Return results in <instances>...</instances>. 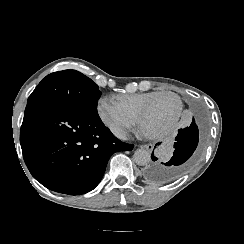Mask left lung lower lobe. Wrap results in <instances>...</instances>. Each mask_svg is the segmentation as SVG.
<instances>
[{"mask_svg":"<svg viewBox=\"0 0 244 244\" xmlns=\"http://www.w3.org/2000/svg\"><path fill=\"white\" fill-rule=\"evenodd\" d=\"M172 158L167 162H155L157 158L152 154L154 162L148 163L143 171V177L154 183H169L181 177L193 164L199 141V131L195 119L189 127L178 130L175 138Z\"/></svg>","mask_w":244,"mask_h":244,"instance_id":"obj_1","label":"left lung lower lobe"}]
</instances>
